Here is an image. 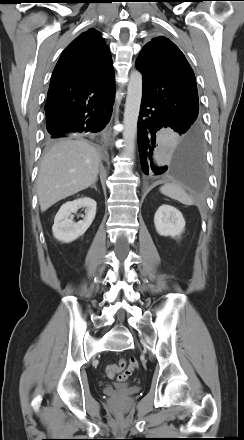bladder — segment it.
Instances as JSON below:
<instances>
[{
	"label": "bladder",
	"mask_w": 244,
	"mask_h": 440,
	"mask_svg": "<svg viewBox=\"0 0 244 440\" xmlns=\"http://www.w3.org/2000/svg\"><path fill=\"white\" fill-rule=\"evenodd\" d=\"M125 387H126L125 385H121V386H118V389L123 390Z\"/></svg>",
	"instance_id": "obj_1"
}]
</instances>
